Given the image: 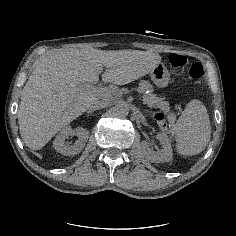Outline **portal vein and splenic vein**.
I'll return each instance as SVG.
<instances>
[{
	"label": "portal vein and splenic vein",
	"instance_id": "1",
	"mask_svg": "<svg viewBox=\"0 0 236 236\" xmlns=\"http://www.w3.org/2000/svg\"><path fill=\"white\" fill-rule=\"evenodd\" d=\"M81 90H93L94 92H98L102 96L107 95L110 93V91L105 90L102 88V85L99 84L98 86H94L92 84H80Z\"/></svg>",
	"mask_w": 236,
	"mask_h": 236
}]
</instances>
